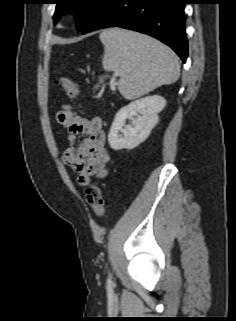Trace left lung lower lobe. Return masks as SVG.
I'll return each instance as SVG.
<instances>
[{
	"label": "left lung lower lobe",
	"instance_id": "1",
	"mask_svg": "<svg viewBox=\"0 0 236 321\" xmlns=\"http://www.w3.org/2000/svg\"><path fill=\"white\" fill-rule=\"evenodd\" d=\"M188 0H108L82 34L121 27L150 35L170 46L186 61L184 5Z\"/></svg>",
	"mask_w": 236,
	"mask_h": 321
}]
</instances>
